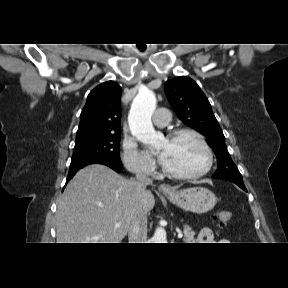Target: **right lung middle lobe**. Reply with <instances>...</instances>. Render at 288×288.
Segmentation results:
<instances>
[{"instance_id":"right-lung-middle-lobe-1","label":"right lung middle lobe","mask_w":288,"mask_h":288,"mask_svg":"<svg viewBox=\"0 0 288 288\" xmlns=\"http://www.w3.org/2000/svg\"><path fill=\"white\" fill-rule=\"evenodd\" d=\"M120 133L85 138L75 142L71 164L100 158L122 166L119 156Z\"/></svg>"}]
</instances>
